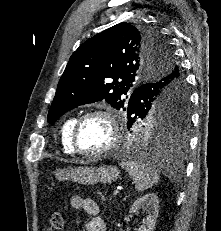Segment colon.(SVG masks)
I'll list each match as a JSON object with an SVG mask.
<instances>
[{
  "instance_id": "1",
  "label": "colon",
  "mask_w": 221,
  "mask_h": 231,
  "mask_svg": "<svg viewBox=\"0 0 221 231\" xmlns=\"http://www.w3.org/2000/svg\"><path fill=\"white\" fill-rule=\"evenodd\" d=\"M63 226V216L58 212L53 213L49 218L48 231H60Z\"/></svg>"
}]
</instances>
